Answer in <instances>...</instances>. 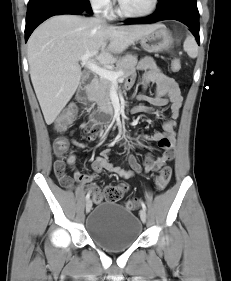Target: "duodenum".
<instances>
[{
  "instance_id": "duodenum-1",
  "label": "duodenum",
  "mask_w": 231,
  "mask_h": 281,
  "mask_svg": "<svg viewBox=\"0 0 231 281\" xmlns=\"http://www.w3.org/2000/svg\"><path fill=\"white\" fill-rule=\"evenodd\" d=\"M92 81H86L82 83L77 91L76 98L83 105H87L90 99ZM115 112L111 109H105L99 112H92L89 115V120L99 126L107 125L111 123L114 119Z\"/></svg>"
}]
</instances>
